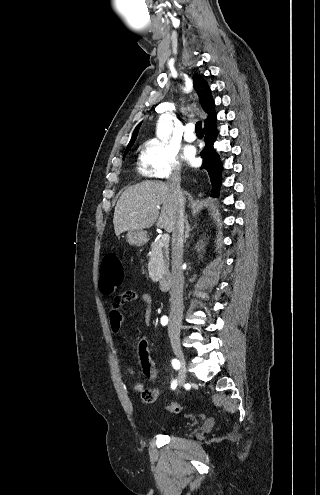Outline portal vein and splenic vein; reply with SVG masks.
Returning <instances> with one entry per match:
<instances>
[{"label":"portal vein and splenic vein","mask_w":320,"mask_h":495,"mask_svg":"<svg viewBox=\"0 0 320 495\" xmlns=\"http://www.w3.org/2000/svg\"><path fill=\"white\" fill-rule=\"evenodd\" d=\"M169 239H170L169 234H164V235L162 236V242H163V244H164V245H168V243H169Z\"/></svg>","instance_id":"18ae733b"}]
</instances>
